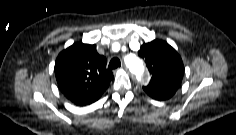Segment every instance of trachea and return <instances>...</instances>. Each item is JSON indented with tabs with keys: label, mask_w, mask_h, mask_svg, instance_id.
<instances>
[{
	"label": "trachea",
	"mask_w": 236,
	"mask_h": 135,
	"mask_svg": "<svg viewBox=\"0 0 236 135\" xmlns=\"http://www.w3.org/2000/svg\"><path fill=\"white\" fill-rule=\"evenodd\" d=\"M121 66V62L118 58H113L111 59V61L109 62L108 68L109 69H116L118 67Z\"/></svg>",
	"instance_id": "obj_1"
}]
</instances>
